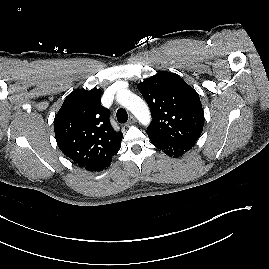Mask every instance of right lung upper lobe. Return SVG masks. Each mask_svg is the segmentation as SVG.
<instances>
[{
    "mask_svg": "<svg viewBox=\"0 0 269 269\" xmlns=\"http://www.w3.org/2000/svg\"><path fill=\"white\" fill-rule=\"evenodd\" d=\"M100 99V89L74 90L54 119L58 147L87 170L111 159L119 151L123 137L112 128L109 111Z\"/></svg>",
    "mask_w": 269,
    "mask_h": 269,
    "instance_id": "right-lung-upper-lobe-1",
    "label": "right lung upper lobe"
}]
</instances>
